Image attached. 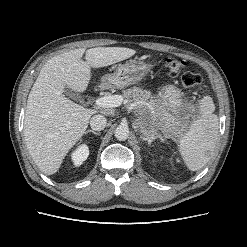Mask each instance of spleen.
Listing matches in <instances>:
<instances>
[{
  "label": "spleen",
  "mask_w": 247,
  "mask_h": 247,
  "mask_svg": "<svg viewBox=\"0 0 247 247\" xmlns=\"http://www.w3.org/2000/svg\"><path fill=\"white\" fill-rule=\"evenodd\" d=\"M215 105L211 97L206 96L200 102L201 115L194 120L181 138L180 153L186 166L197 171L210 160L218 139V118L213 112Z\"/></svg>",
  "instance_id": "3e777b00"
}]
</instances>
